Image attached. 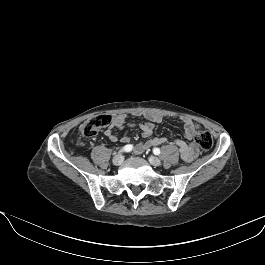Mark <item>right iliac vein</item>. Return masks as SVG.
<instances>
[{"label": "right iliac vein", "instance_id": "63e3f726", "mask_svg": "<svg viewBox=\"0 0 265 265\" xmlns=\"http://www.w3.org/2000/svg\"><path fill=\"white\" fill-rule=\"evenodd\" d=\"M123 160H124L123 155H116V156L113 158V164H114V165H121V164L123 163Z\"/></svg>", "mask_w": 265, "mask_h": 265}]
</instances>
